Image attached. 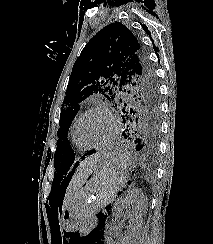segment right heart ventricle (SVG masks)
Returning a JSON list of instances; mask_svg holds the SVG:
<instances>
[{
	"label": "right heart ventricle",
	"instance_id": "e07e8e85",
	"mask_svg": "<svg viewBox=\"0 0 213 244\" xmlns=\"http://www.w3.org/2000/svg\"><path fill=\"white\" fill-rule=\"evenodd\" d=\"M72 130H73V126H72V128H71V130H70V138H71V141H72L73 146H74L77 150H83L84 148L81 147V146L79 145V143L75 140V138H74V136H73V133H72Z\"/></svg>",
	"mask_w": 213,
	"mask_h": 244
}]
</instances>
